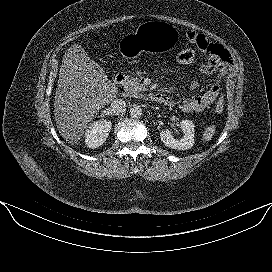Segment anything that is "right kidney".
Returning <instances> with one entry per match:
<instances>
[{
  "label": "right kidney",
  "mask_w": 272,
  "mask_h": 272,
  "mask_svg": "<svg viewBox=\"0 0 272 272\" xmlns=\"http://www.w3.org/2000/svg\"><path fill=\"white\" fill-rule=\"evenodd\" d=\"M112 123L109 120H101L91 124L85 133V143L89 148H98L107 139Z\"/></svg>",
  "instance_id": "right-kidney-1"
}]
</instances>
